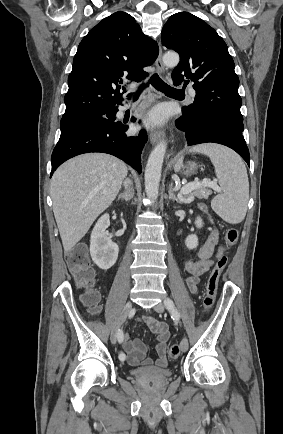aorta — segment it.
Returning a JSON list of instances; mask_svg holds the SVG:
<instances>
[{"mask_svg":"<svg viewBox=\"0 0 283 434\" xmlns=\"http://www.w3.org/2000/svg\"><path fill=\"white\" fill-rule=\"evenodd\" d=\"M163 62L168 67H175L179 63V55L177 53H167L163 57ZM166 147V142H159L152 150L146 165L145 191L147 197L151 200H156L158 197L161 170Z\"/></svg>","mask_w":283,"mask_h":434,"instance_id":"762f6f07","label":"aorta"}]
</instances>
